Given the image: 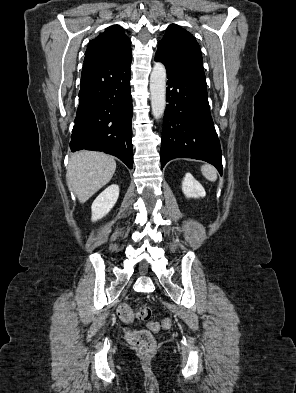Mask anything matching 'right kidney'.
<instances>
[{
	"instance_id": "obj_1",
	"label": "right kidney",
	"mask_w": 296,
	"mask_h": 393,
	"mask_svg": "<svg viewBox=\"0 0 296 393\" xmlns=\"http://www.w3.org/2000/svg\"><path fill=\"white\" fill-rule=\"evenodd\" d=\"M119 186L116 184L107 187L93 202L92 221H97L106 216L117 202Z\"/></svg>"
}]
</instances>
